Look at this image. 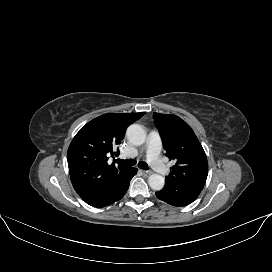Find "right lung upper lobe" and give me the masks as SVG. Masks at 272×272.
<instances>
[{"mask_svg":"<svg viewBox=\"0 0 272 272\" xmlns=\"http://www.w3.org/2000/svg\"><path fill=\"white\" fill-rule=\"evenodd\" d=\"M140 113H107L88 122L74 137L67 153L72 185L83 199L101 189L127 168L107 163V154L118 155L125 129L141 118Z\"/></svg>","mask_w":272,"mask_h":272,"instance_id":"obj_1","label":"right lung upper lobe"}]
</instances>
